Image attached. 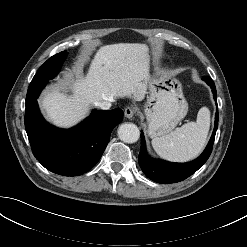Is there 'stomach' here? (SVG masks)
I'll list each match as a JSON object with an SVG mask.
<instances>
[{
	"label": "stomach",
	"instance_id": "1",
	"mask_svg": "<svg viewBox=\"0 0 247 247\" xmlns=\"http://www.w3.org/2000/svg\"><path fill=\"white\" fill-rule=\"evenodd\" d=\"M147 56L153 52L147 48ZM149 97L144 105L151 137L170 133L186 116L188 103L181 82L171 74L158 72L147 80Z\"/></svg>",
	"mask_w": 247,
	"mask_h": 247
}]
</instances>
